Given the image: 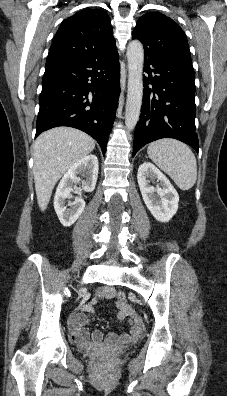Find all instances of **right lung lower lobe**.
I'll use <instances>...</instances> for the list:
<instances>
[{
    "label": "right lung lower lobe",
    "mask_w": 227,
    "mask_h": 396,
    "mask_svg": "<svg viewBox=\"0 0 227 396\" xmlns=\"http://www.w3.org/2000/svg\"><path fill=\"white\" fill-rule=\"evenodd\" d=\"M119 94L116 47L88 58L46 67L36 137L53 127H74L92 136L105 154Z\"/></svg>",
    "instance_id": "right-lung-lower-lobe-1"
}]
</instances>
